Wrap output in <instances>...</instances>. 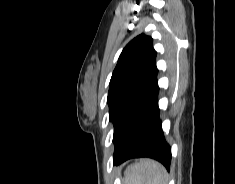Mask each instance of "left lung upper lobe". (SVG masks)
I'll list each match as a JSON object with an SVG mask.
<instances>
[{
  "label": "left lung upper lobe",
  "mask_w": 235,
  "mask_h": 184,
  "mask_svg": "<svg viewBox=\"0 0 235 184\" xmlns=\"http://www.w3.org/2000/svg\"><path fill=\"white\" fill-rule=\"evenodd\" d=\"M156 55L153 39L141 34L131 40L119 56L107 97L109 120L114 125L113 158L125 146L139 115L155 92Z\"/></svg>",
  "instance_id": "1"
}]
</instances>
